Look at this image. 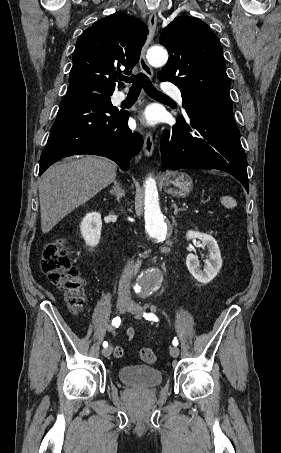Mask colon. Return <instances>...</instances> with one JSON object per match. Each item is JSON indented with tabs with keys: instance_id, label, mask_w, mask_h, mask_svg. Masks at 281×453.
I'll use <instances>...</instances> for the list:
<instances>
[{
	"instance_id": "5ec220e1",
	"label": "colon",
	"mask_w": 281,
	"mask_h": 453,
	"mask_svg": "<svg viewBox=\"0 0 281 453\" xmlns=\"http://www.w3.org/2000/svg\"><path fill=\"white\" fill-rule=\"evenodd\" d=\"M69 250L62 240L46 242L42 245V270L49 274L60 290L67 296L71 309L78 313L86 312V303L81 278L76 267L71 265ZM139 358L143 363H155L157 354L150 349H140Z\"/></svg>"
}]
</instances>
